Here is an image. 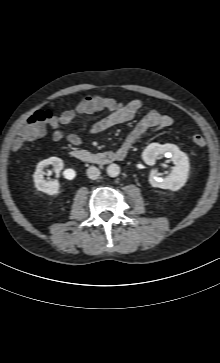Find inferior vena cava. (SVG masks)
<instances>
[{"label":"inferior vena cava","instance_id":"1","mask_svg":"<svg viewBox=\"0 0 220 363\" xmlns=\"http://www.w3.org/2000/svg\"><path fill=\"white\" fill-rule=\"evenodd\" d=\"M87 176L90 178V179H97L99 176H100V170L95 167V166H90L88 169H87Z\"/></svg>","mask_w":220,"mask_h":363}]
</instances>
